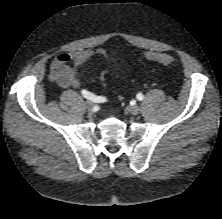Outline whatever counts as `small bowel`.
Returning a JSON list of instances; mask_svg holds the SVG:
<instances>
[{
	"mask_svg": "<svg viewBox=\"0 0 222 219\" xmlns=\"http://www.w3.org/2000/svg\"><path fill=\"white\" fill-rule=\"evenodd\" d=\"M95 56H102L109 62L116 60L112 53L101 48L63 52L51 61L48 76L63 88H78L83 76L81 66L90 63ZM70 62L73 66L69 65Z\"/></svg>",
	"mask_w": 222,
	"mask_h": 219,
	"instance_id": "c3829d8e",
	"label": "small bowel"
}]
</instances>
